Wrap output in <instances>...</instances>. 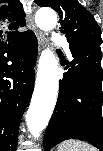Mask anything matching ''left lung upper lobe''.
<instances>
[{"mask_svg":"<svg viewBox=\"0 0 103 151\" xmlns=\"http://www.w3.org/2000/svg\"><path fill=\"white\" fill-rule=\"evenodd\" d=\"M39 6H49L60 17V29L69 45H101V29L92 14L78 0H34Z\"/></svg>","mask_w":103,"mask_h":151,"instance_id":"5c2ea615","label":"left lung upper lobe"}]
</instances>
